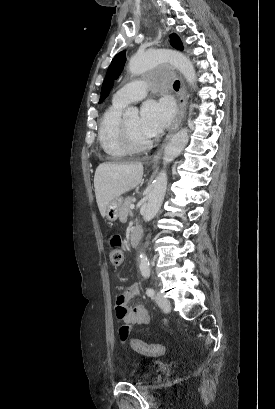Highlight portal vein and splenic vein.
Returning <instances> with one entry per match:
<instances>
[{
    "label": "portal vein and splenic vein",
    "mask_w": 275,
    "mask_h": 409,
    "mask_svg": "<svg viewBox=\"0 0 275 409\" xmlns=\"http://www.w3.org/2000/svg\"><path fill=\"white\" fill-rule=\"evenodd\" d=\"M130 209H135V205H130Z\"/></svg>",
    "instance_id": "obj_1"
}]
</instances>
